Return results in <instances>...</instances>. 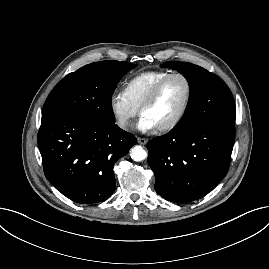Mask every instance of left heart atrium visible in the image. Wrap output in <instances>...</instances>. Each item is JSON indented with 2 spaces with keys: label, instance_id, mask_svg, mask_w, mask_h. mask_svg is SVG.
Segmentation results:
<instances>
[{
  "label": "left heart atrium",
  "instance_id": "39dd6f15",
  "mask_svg": "<svg viewBox=\"0 0 269 269\" xmlns=\"http://www.w3.org/2000/svg\"><path fill=\"white\" fill-rule=\"evenodd\" d=\"M136 127L138 130L142 132H147L156 128L153 122L143 115L140 117L139 121L137 122Z\"/></svg>",
  "mask_w": 269,
  "mask_h": 269
}]
</instances>
